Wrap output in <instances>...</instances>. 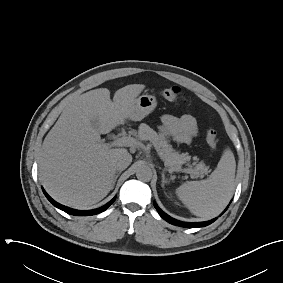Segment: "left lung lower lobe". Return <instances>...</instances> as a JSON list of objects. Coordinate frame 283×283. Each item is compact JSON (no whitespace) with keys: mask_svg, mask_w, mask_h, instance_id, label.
Segmentation results:
<instances>
[{"mask_svg":"<svg viewBox=\"0 0 283 283\" xmlns=\"http://www.w3.org/2000/svg\"><path fill=\"white\" fill-rule=\"evenodd\" d=\"M154 206L156 208V210L158 211L159 215L165 219L167 222H169L170 224L173 225H177V226H182V227H187V228H196V227H204L207 226L211 223H213L215 221V219L207 221V222H199V223H186V222H181L178 221L176 219H173L172 217H170L169 215H167L166 213H164L158 206L156 203H154Z\"/></svg>","mask_w":283,"mask_h":283,"instance_id":"0a47b994","label":"left lung lower lobe"}]
</instances>
